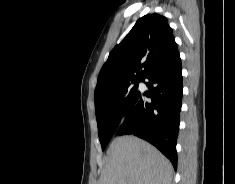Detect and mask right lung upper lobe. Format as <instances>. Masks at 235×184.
<instances>
[{
    "mask_svg": "<svg viewBox=\"0 0 235 184\" xmlns=\"http://www.w3.org/2000/svg\"><path fill=\"white\" fill-rule=\"evenodd\" d=\"M177 50L166 17L153 13L140 18L103 65L94 92L95 107L111 102V88L143 80Z\"/></svg>",
    "mask_w": 235,
    "mask_h": 184,
    "instance_id": "obj_1",
    "label": "right lung upper lobe"
}]
</instances>
